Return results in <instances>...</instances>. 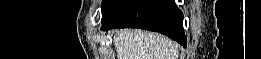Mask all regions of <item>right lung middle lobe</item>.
Returning <instances> with one entry per match:
<instances>
[{"label":"right lung middle lobe","mask_w":261,"mask_h":59,"mask_svg":"<svg viewBox=\"0 0 261 59\" xmlns=\"http://www.w3.org/2000/svg\"><path fill=\"white\" fill-rule=\"evenodd\" d=\"M121 0H103L102 1V16L108 14Z\"/></svg>","instance_id":"1"}]
</instances>
